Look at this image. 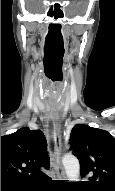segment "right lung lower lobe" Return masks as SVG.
Returning a JSON list of instances; mask_svg holds the SVG:
<instances>
[{"mask_svg": "<svg viewBox=\"0 0 115 191\" xmlns=\"http://www.w3.org/2000/svg\"><path fill=\"white\" fill-rule=\"evenodd\" d=\"M42 182H50V178L45 179ZM41 183V182H40ZM29 186L20 187V188H13V187H1V191H27Z\"/></svg>", "mask_w": 115, "mask_h": 191, "instance_id": "obj_1", "label": "right lung lower lobe"}]
</instances>
